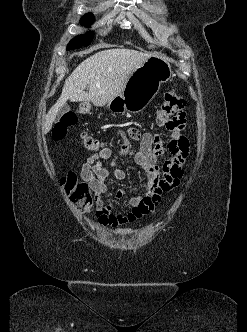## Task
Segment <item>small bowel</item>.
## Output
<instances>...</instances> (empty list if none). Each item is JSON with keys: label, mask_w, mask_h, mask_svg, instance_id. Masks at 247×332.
<instances>
[{"label": "small bowel", "mask_w": 247, "mask_h": 332, "mask_svg": "<svg viewBox=\"0 0 247 332\" xmlns=\"http://www.w3.org/2000/svg\"><path fill=\"white\" fill-rule=\"evenodd\" d=\"M183 127L173 131L168 143V152L171 157L161 165L158 159L165 152L161 139L148 132L141 133L135 128H129L126 135L138 142V150H134L126 141L115 153L105 147L88 157L81 167L80 176L94 192L96 215L100 225L116 228L141 219L154 212L164 193L179 185L183 176V165L189 152L188 140L182 134ZM127 157L132 158L145 170L147 176L145 192L142 196H134L130 199L131 209L127 213H112L101 197L107 191L108 179L123 180L125 178V172L117 167V162ZM105 161L110 162L112 172L105 168ZM123 195L122 190L117 192L118 197Z\"/></svg>", "instance_id": "obj_1"}]
</instances>
